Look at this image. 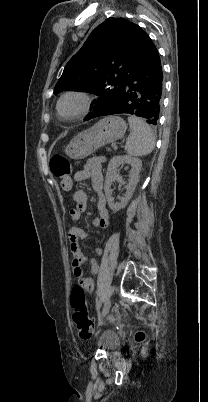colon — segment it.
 I'll return each mask as SVG.
<instances>
[{
    "mask_svg": "<svg viewBox=\"0 0 208 402\" xmlns=\"http://www.w3.org/2000/svg\"><path fill=\"white\" fill-rule=\"evenodd\" d=\"M49 168L53 176L58 180L59 186L64 190H71L73 184L72 168L69 161L61 155H55L49 162ZM71 305L74 309L73 320L77 326L81 339H88L92 336L93 322L87 309L86 297L80 286H75L71 295ZM135 338H144V329H135Z\"/></svg>",
    "mask_w": 208,
    "mask_h": 402,
    "instance_id": "5ec220e1",
    "label": "colon"
}]
</instances>
